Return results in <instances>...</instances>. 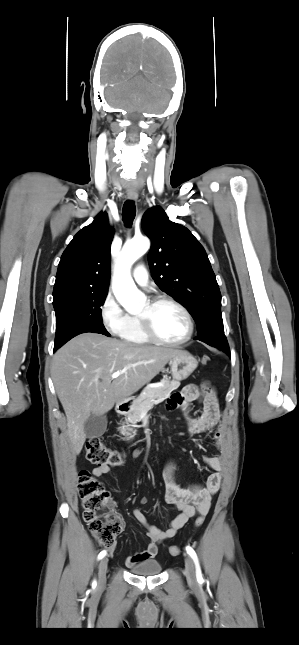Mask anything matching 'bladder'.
Returning a JSON list of instances; mask_svg holds the SVG:
<instances>
[{
	"mask_svg": "<svg viewBox=\"0 0 299 645\" xmlns=\"http://www.w3.org/2000/svg\"><path fill=\"white\" fill-rule=\"evenodd\" d=\"M162 570L161 564L157 560H148L138 563L131 567V572L137 575H156Z\"/></svg>",
	"mask_w": 299,
	"mask_h": 645,
	"instance_id": "bladder-1",
	"label": "bladder"
}]
</instances>
